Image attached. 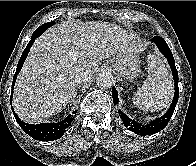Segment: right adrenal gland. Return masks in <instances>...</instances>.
<instances>
[{"label": "right adrenal gland", "mask_w": 196, "mask_h": 166, "mask_svg": "<svg viewBox=\"0 0 196 166\" xmlns=\"http://www.w3.org/2000/svg\"><path fill=\"white\" fill-rule=\"evenodd\" d=\"M75 96H76V92H75V95L73 96V98H75ZM74 101V99H72L69 103H71V102H73Z\"/></svg>", "instance_id": "right-adrenal-gland-1"}]
</instances>
